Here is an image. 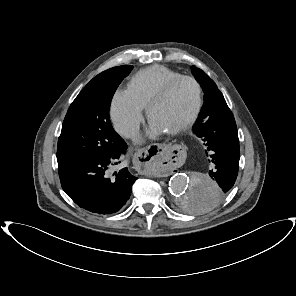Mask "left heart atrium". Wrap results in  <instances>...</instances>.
<instances>
[{
  "mask_svg": "<svg viewBox=\"0 0 296 296\" xmlns=\"http://www.w3.org/2000/svg\"><path fill=\"white\" fill-rule=\"evenodd\" d=\"M163 131L157 127L155 124H153L152 122L150 123V129H149V136L150 137H156L159 134H161Z\"/></svg>",
  "mask_w": 296,
  "mask_h": 296,
  "instance_id": "1",
  "label": "left heart atrium"
}]
</instances>
